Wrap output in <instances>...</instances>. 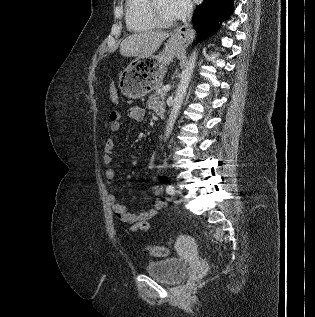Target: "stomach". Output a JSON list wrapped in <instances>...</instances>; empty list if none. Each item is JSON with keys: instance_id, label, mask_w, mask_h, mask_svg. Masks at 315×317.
Masks as SVG:
<instances>
[{"instance_id": "stomach-1", "label": "stomach", "mask_w": 315, "mask_h": 317, "mask_svg": "<svg viewBox=\"0 0 315 317\" xmlns=\"http://www.w3.org/2000/svg\"><path fill=\"white\" fill-rule=\"evenodd\" d=\"M182 41L171 37L163 50L147 58L136 57L120 73L118 86L124 96L139 99L158 87L168 65L181 54Z\"/></svg>"}]
</instances>
